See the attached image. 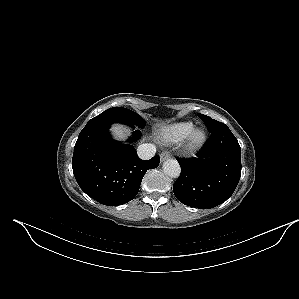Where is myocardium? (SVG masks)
Here are the masks:
<instances>
[{"label": "myocardium", "mask_w": 299, "mask_h": 299, "mask_svg": "<svg viewBox=\"0 0 299 299\" xmlns=\"http://www.w3.org/2000/svg\"><path fill=\"white\" fill-rule=\"evenodd\" d=\"M207 140V133L203 128H194L189 135L185 138L184 149L193 153L203 147Z\"/></svg>", "instance_id": "obj_1"}]
</instances>
